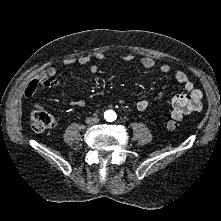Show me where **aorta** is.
<instances>
[{"mask_svg": "<svg viewBox=\"0 0 221 221\" xmlns=\"http://www.w3.org/2000/svg\"><path fill=\"white\" fill-rule=\"evenodd\" d=\"M116 117V114H115V112L114 111H112V110H109V111H107L106 113H105V118L107 119V120H114V118Z\"/></svg>", "mask_w": 221, "mask_h": 221, "instance_id": "1", "label": "aorta"}]
</instances>
